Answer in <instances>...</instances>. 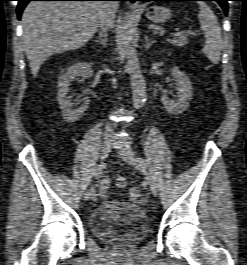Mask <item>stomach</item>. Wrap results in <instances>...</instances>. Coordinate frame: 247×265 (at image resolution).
<instances>
[{
    "label": "stomach",
    "instance_id": "1",
    "mask_svg": "<svg viewBox=\"0 0 247 265\" xmlns=\"http://www.w3.org/2000/svg\"><path fill=\"white\" fill-rule=\"evenodd\" d=\"M146 17L153 23H164L171 18V11L166 7L155 5L147 9Z\"/></svg>",
    "mask_w": 247,
    "mask_h": 265
}]
</instances>
